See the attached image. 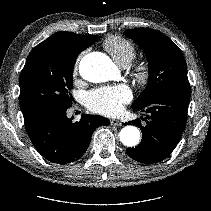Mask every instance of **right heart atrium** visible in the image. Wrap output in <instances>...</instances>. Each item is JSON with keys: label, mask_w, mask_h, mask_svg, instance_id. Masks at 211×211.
<instances>
[{"label": "right heart atrium", "mask_w": 211, "mask_h": 211, "mask_svg": "<svg viewBox=\"0 0 211 211\" xmlns=\"http://www.w3.org/2000/svg\"><path fill=\"white\" fill-rule=\"evenodd\" d=\"M79 59H80V56L77 58V60H76V62H75V64H74V73H77Z\"/></svg>", "instance_id": "d8ad5b80"}]
</instances>
